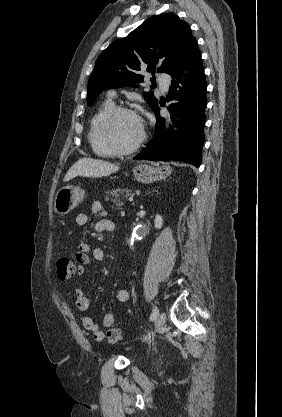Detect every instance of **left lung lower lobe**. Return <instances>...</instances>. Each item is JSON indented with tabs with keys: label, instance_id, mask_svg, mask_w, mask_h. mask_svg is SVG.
Wrapping results in <instances>:
<instances>
[{
	"label": "left lung lower lobe",
	"instance_id": "left-lung-lower-lobe-1",
	"mask_svg": "<svg viewBox=\"0 0 282 417\" xmlns=\"http://www.w3.org/2000/svg\"><path fill=\"white\" fill-rule=\"evenodd\" d=\"M172 77L167 101L175 129L165 132L158 103L152 108L157 118L153 139L133 159L183 161L200 166L204 142L206 79L196 40L191 41L167 72ZM178 118V119H176Z\"/></svg>",
	"mask_w": 282,
	"mask_h": 417
}]
</instances>
